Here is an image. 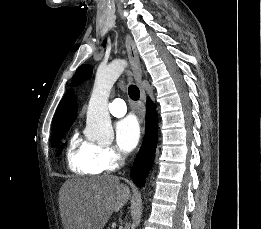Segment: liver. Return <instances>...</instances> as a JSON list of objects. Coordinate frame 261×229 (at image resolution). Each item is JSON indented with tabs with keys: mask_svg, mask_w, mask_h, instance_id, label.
<instances>
[{
	"mask_svg": "<svg viewBox=\"0 0 261 229\" xmlns=\"http://www.w3.org/2000/svg\"><path fill=\"white\" fill-rule=\"evenodd\" d=\"M66 229H103L112 213H118L130 199L129 187L118 177L102 175L70 179L64 185Z\"/></svg>",
	"mask_w": 261,
	"mask_h": 229,
	"instance_id": "obj_1",
	"label": "liver"
}]
</instances>
